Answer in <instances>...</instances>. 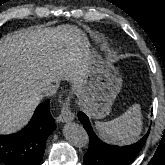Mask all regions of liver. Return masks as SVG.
<instances>
[{"mask_svg":"<svg viewBox=\"0 0 165 165\" xmlns=\"http://www.w3.org/2000/svg\"><path fill=\"white\" fill-rule=\"evenodd\" d=\"M83 40L77 27L61 26L18 32L0 43V134L16 132L28 123L43 83L65 77L80 90L90 65ZM64 45L68 51L62 54Z\"/></svg>","mask_w":165,"mask_h":165,"instance_id":"1","label":"liver"}]
</instances>
